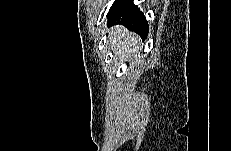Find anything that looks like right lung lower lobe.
Listing matches in <instances>:
<instances>
[{"label":"right lung lower lobe","mask_w":231,"mask_h":151,"mask_svg":"<svg viewBox=\"0 0 231 151\" xmlns=\"http://www.w3.org/2000/svg\"><path fill=\"white\" fill-rule=\"evenodd\" d=\"M108 25L122 24L130 31L139 34L142 40L148 36L147 20L133 0H116L109 10Z\"/></svg>","instance_id":"obj_1"}]
</instances>
